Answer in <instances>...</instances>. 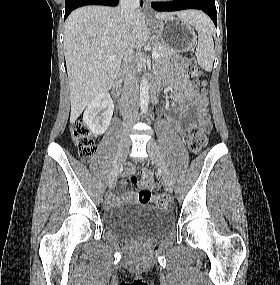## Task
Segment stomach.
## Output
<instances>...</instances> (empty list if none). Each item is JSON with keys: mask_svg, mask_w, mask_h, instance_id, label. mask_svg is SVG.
<instances>
[{"mask_svg": "<svg viewBox=\"0 0 280 285\" xmlns=\"http://www.w3.org/2000/svg\"><path fill=\"white\" fill-rule=\"evenodd\" d=\"M158 39L178 52L191 50L196 43V35L192 24L182 18L168 16L152 23Z\"/></svg>", "mask_w": 280, "mask_h": 285, "instance_id": "1", "label": "stomach"}]
</instances>
